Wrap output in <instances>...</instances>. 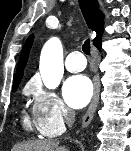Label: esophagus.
<instances>
[{"mask_svg": "<svg viewBox=\"0 0 131 151\" xmlns=\"http://www.w3.org/2000/svg\"><path fill=\"white\" fill-rule=\"evenodd\" d=\"M99 93H100V82H99V77L95 76L94 77V94L91 100V103L83 117L82 120V129L87 128V126L90 124V122L93 119V116L96 112L97 105L99 102Z\"/></svg>", "mask_w": 131, "mask_h": 151, "instance_id": "1", "label": "esophagus"}]
</instances>
